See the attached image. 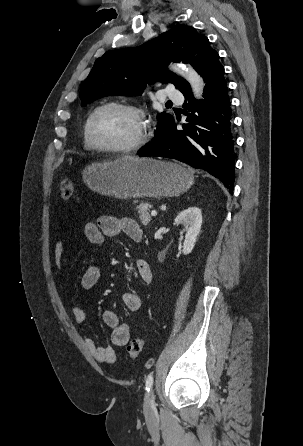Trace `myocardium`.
<instances>
[{
  "mask_svg": "<svg viewBox=\"0 0 303 446\" xmlns=\"http://www.w3.org/2000/svg\"><path fill=\"white\" fill-rule=\"evenodd\" d=\"M107 109H118L126 111L130 114H132L139 122V131L137 136L133 141L126 145L122 146H103L99 145L92 136V123L95 119V117L102 111ZM149 135V124L146 120L145 114L137 106L126 104V103H120V102H108L105 104H102L95 108L92 113L89 115L86 124H85V137L89 144V146L97 151L101 152H107V153H128L135 151L139 148H141L147 141Z\"/></svg>",
  "mask_w": 303,
  "mask_h": 446,
  "instance_id": "myocardium-1",
  "label": "myocardium"
}]
</instances>
